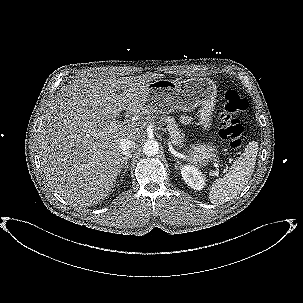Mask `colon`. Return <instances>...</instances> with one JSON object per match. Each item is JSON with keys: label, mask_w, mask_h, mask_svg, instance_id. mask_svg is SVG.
<instances>
[{"label": "colon", "mask_w": 303, "mask_h": 303, "mask_svg": "<svg viewBox=\"0 0 303 303\" xmlns=\"http://www.w3.org/2000/svg\"><path fill=\"white\" fill-rule=\"evenodd\" d=\"M249 108V100L235 90H228L223 98V108L220 113L219 135L233 149L242 144L243 127L239 116Z\"/></svg>", "instance_id": "colon-1"}]
</instances>
